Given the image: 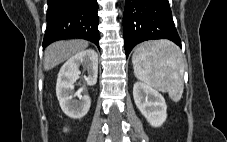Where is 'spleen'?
Returning <instances> with one entry per match:
<instances>
[{
    "label": "spleen",
    "instance_id": "3e777b00",
    "mask_svg": "<svg viewBox=\"0 0 227 142\" xmlns=\"http://www.w3.org/2000/svg\"><path fill=\"white\" fill-rule=\"evenodd\" d=\"M135 76L145 84L168 92L178 102L184 90V59L181 50L168 40L139 44L132 55Z\"/></svg>",
    "mask_w": 227,
    "mask_h": 142
}]
</instances>
